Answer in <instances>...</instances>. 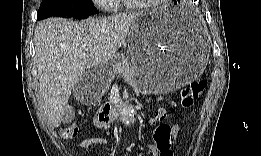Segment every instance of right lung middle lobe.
<instances>
[{
  "mask_svg": "<svg viewBox=\"0 0 261 156\" xmlns=\"http://www.w3.org/2000/svg\"><path fill=\"white\" fill-rule=\"evenodd\" d=\"M98 13L91 0H43L37 19L50 16L77 18Z\"/></svg>",
  "mask_w": 261,
  "mask_h": 156,
  "instance_id": "obj_1",
  "label": "right lung middle lobe"
}]
</instances>
